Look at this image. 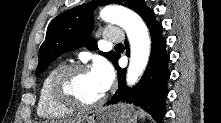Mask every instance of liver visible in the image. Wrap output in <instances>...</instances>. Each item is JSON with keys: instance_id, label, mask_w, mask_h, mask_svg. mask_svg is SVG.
Returning <instances> with one entry per match:
<instances>
[{"instance_id": "6515ba94", "label": "liver", "mask_w": 221, "mask_h": 123, "mask_svg": "<svg viewBox=\"0 0 221 123\" xmlns=\"http://www.w3.org/2000/svg\"><path fill=\"white\" fill-rule=\"evenodd\" d=\"M78 121H79V120H72V121H70V122L74 123V122H78ZM70 122H69V123H70ZM65 123H66V122H65Z\"/></svg>"}]
</instances>
